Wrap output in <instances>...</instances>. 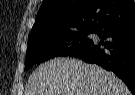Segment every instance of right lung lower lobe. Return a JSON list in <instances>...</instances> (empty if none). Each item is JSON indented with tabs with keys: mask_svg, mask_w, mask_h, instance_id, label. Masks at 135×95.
<instances>
[{
	"mask_svg": "<svg viewBox=\"0 0 135 95\" xmlns=\"http://www.w3.org/2000/svg\"><path fill=\"white\" fill-rule=\"evenodd\" d=\"M93 33L101 41H92L73 57L114 72L135 95V15L109 20Z\"/></svg>",
	"mask_w": 135,
	"mask_h": 95,
	"instance_id": "obj_1",
	"label": "right lung lower lobe"
}]
</instances>
